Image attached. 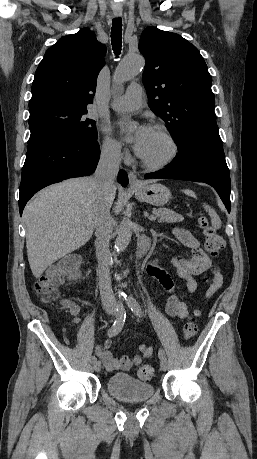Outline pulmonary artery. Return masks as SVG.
Returning a JSON list of instances; mask_svg holds the SVG:
<instances>
[{
  "label": "pulmonary artery",
  "instance_id": "1",
  "mask_svg": "<svg viewBox=\"0 0 257 459\" xmlns=\"http://www.w3.org/2000/svg\"><path fill=\"white\" fill-rule=\"evenodd\" d=\"M142 93V86L140 84H130L126 93L115 99L111 106L117 111H132L138 109L142 103Z\"/></svg>",
  "mask_w": 257,
  "mask_h": 459
}]
</instances>
